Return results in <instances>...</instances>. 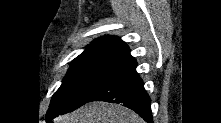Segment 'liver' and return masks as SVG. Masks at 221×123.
Instances as JSON below:
<instances>
[{"mask_svg":"<svg viewBox=\"0 0 221 123\" xmlns=\"http://www.w3.org/2000/svg\"><path fill=\"white\" fill-rule=\"evenodd\" d=\"M53 121L54 123H144V120L130 109L106 102L87 104Z\"/></svg>","mask_w":221,"mask_h":123,"instance_id":"1","label":"liver"}]
</instances>
